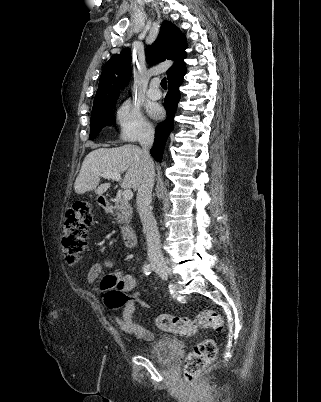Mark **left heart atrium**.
<instances>
[{
	"label": "left heart atrium",
	"mask_w": 321,
	"mask_h": 402,
	"mask_svg": "<svg viewBox=\"0 0 321 402\" xmlns=\"http://www.w3.org/2000/svg\"><path fill=\"white\" fill-rule=\"evenodd\" d=\"M149 112H150V115H151L152 117H154V118L160 117V115H161V113H162L160 107H158V106L152 107Z\"/></svg>",
	"instance_id": "left-heart-atrium-1"
}]
</instances>
